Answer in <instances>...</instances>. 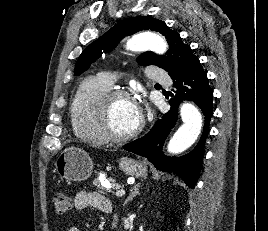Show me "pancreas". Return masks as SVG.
Listing matches in <instances>:
<instances>
[{"label": "pancreas", "mask_w": 268, "mask_h": 231, "mask_svg": "<svg viewBox=\"0 0 268 231\" xmlns=\"http://www.w3.org/2000/svg\"><path fill=\"white\" fill-rule=\"evenodd\" d=\"M102 180H103L104 184H106V186H103L102 185L101 180H100L99 177L95 178L94 181H93V185L97 188V190L100 193L107 194V193L113 192L111 189H108L107 188L110 184L113 187H116V188L117 187H120V185L116 183V180L115 179L106 178V176H103L102 177Z\"/></svg>", "instance_id": "obj_1"}]
</instances>
